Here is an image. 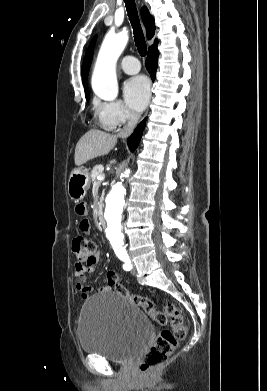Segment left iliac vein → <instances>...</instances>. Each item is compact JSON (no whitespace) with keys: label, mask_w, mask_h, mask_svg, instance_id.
<instances>
[{"label":"left iliac vein","mask_w":267,"mask_h":391,"mask_svg":"<svg viewBox=\"0 0 267 391\" xmlns=\"http://www.w3.org/2000/svg\"><path fill=\"white\" fill-rule=\"evenodd\" d=\"M131 273L133 274V275H135L136 274V267H135V265L133 264V268H132V270H131Z\"/></svg>","instance_id":"4c4485c4"}]
</instances>
